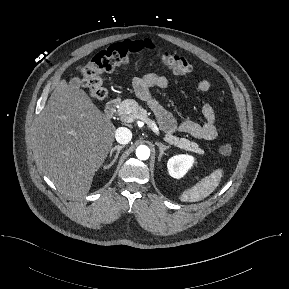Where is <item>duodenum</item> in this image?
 Here are the masks:
<instances>
[{
  "label": "duodenum",
  "mask_w": 289,
  "mask_h": 289,
  "mask_svg": "<svg viewBox=\"0 0 289 289\" xmlns=\"http://www.w3.org/2000/svg\"><path fill=\"white\" fill-rule=\"evenodd\" d=\"M118 105H119L118 99H111L110 101L107 102L105 106V115L107 118H112L114 116L118 108Z\"/></svg>",
  "instance_id": "410a0bca"
}]
</instances>
